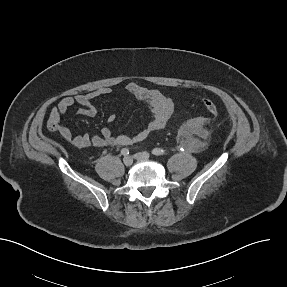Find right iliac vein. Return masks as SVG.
Returning <instances> with one entry per match:
<instances>
[{
    "instance_id": "right-iliac-vein-1",
    "label": "right iliac vein",
    "mask_w": 287,
    "mask_h": 287,
    "mask_svg": "<svg viewBox=\"0 0 287 287\" xmlns=\"http://www.w3.org/2000/svg\"><path fill=\"white\" fill-rule=\"evenodd\" d=\"M123 163L125 166H131L133 163V159L130 156H126L123 158Z\"/></svg>"
}]
</instances>
